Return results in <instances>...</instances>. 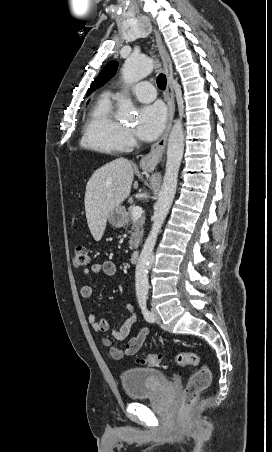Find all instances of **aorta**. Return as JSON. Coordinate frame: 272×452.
Here are the masks:
<instances>
[{
    "label": "aorta",
    "instance_id": "aorta-1",
    "mask_svg": "<svg viewBox=\"0 0 272 452\" xmlns=\"http://www.w3.org/2000/svg\"><path fill=\"white\" fill-rule=\"evenodd\" d=\"M153 69V61L149 58L132 54L124 62L122 76L125 83H135L146 77ZM135 108L130 99L119 101L117 117L122 120L132 118ZM184 152V129L180 120H175L171 129L168 146L167 162L163 184L159 198L154 207L151 231L143 245L135 270V290L137 296L147 295L149 289L148 265L151 259L158 234L175 197L178 172Z\"/></svg>",
    "mask_w": 272,
    "mask_h": 452
}]
</instances>
